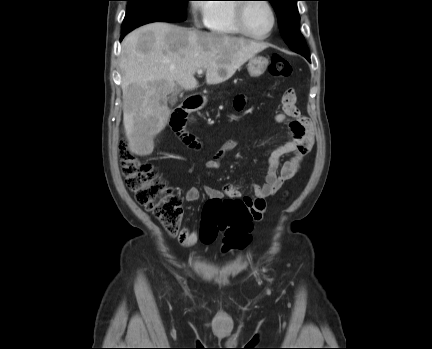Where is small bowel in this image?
<instances>
[{
  "label": "small bowel",
  "mask_w": 432,
  "mask_h": 349,
  "mask_svg": "<svg viewBox=\"0 0 432 349\" xmlns=\"http://www.w3.org/2000/svg\"><path fill=\"white\" fill-rule=\"evenodd\" d=\"M294 90L289 89L282 97V113L276 115L275 120L284 123L289 120V137L287 141L276 148L268 157L267 173L265 183L252 185L254 197H243L239 188L233 184H227L222 190L209 186L204 188L210 200L240 199L245 201L252 213L253 221H260L265 213L266 199L279 191L282 185L293 178L297 173L302 159L310 152L314 144V128L311 121L300 114L296 107ZM245 106V98L237 96L234 107L241 111ZM238 145L237 140L231 139L223 144L215 154L206 162L209 170L220 167L221 159ZM293 156L281 165V158L284 155ZM200 191L197 187L188 189L185 199L187 202L197 201ZM178 242L185 247L193 246L198 240V232L189 227H184L177 236Z\"/></svg>",
  "instance_id": "c3829d8e"
}]
</instances>
